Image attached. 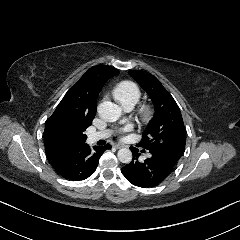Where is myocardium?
<instances>
[{"label": "myocardium", "instance_id": "1", "mask_svg": "<svg viewBox=\"0 0 240 240\" xmlns=\"http://www.w3.org/2000/svg\"><path fill=\"white\" fill-rule=\"evenodd\" d=\"M154 114L153 108L149 104H143L140 108V115L144 122H149Z\"/></svg>", "mask_w": 240, "mask_h": 240}]
</instances>
